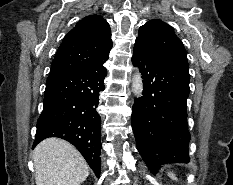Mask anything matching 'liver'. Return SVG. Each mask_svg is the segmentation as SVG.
Here are the masks:
<instances>
[{
    "instance_id": "6515ba94",
    "label": "liver",
    "mask_w": 233,
    "mask_h": 185,
    "mask_svg": "<svg viewBox=\"0 0 233 185\" xmlns=\"http://www.w3.org/2000/svg\"><path fill=\"white\" fill-rule=\"evenodd\" d=\"M36 185H80L89 175V166L69 142L48 138L33 152Z\"/></svg>"
}]
</instances>
